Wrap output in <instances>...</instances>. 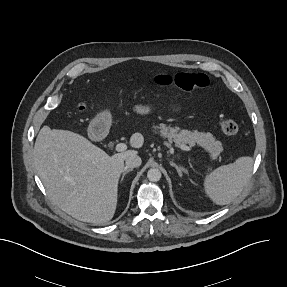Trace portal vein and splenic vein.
<instances>
[{
  "label": "portal vein and splenic vein",
  "instance_id": "obj_1",
  "mask_svg": "<svg viewBox=\"0 0 287 287\" xmlns=\"http://www.w3.org/2000/svg\"><path fill=\"white\" fill-rule=\"evenodd\" d=\"M178 147L182 150H185V151H190L191 148L185 144H179ZM116 151L118 152H122V151H125L127 149V145L124 144V143H119L116 145L115 147Z\"/></svg>",
  "mask_w": 287,
  "mask_h": 287
}]
</instances>
